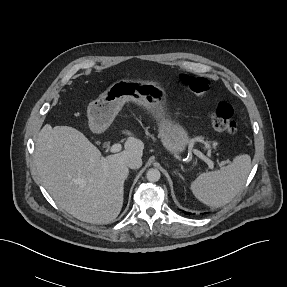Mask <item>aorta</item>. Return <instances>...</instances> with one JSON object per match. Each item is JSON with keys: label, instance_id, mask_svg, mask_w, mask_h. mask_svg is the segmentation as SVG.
Instances as JSON below:
<instances>
[{"label": "aorta", "instance_id": "762f6f07", "mask_svg": "<svg viewBox=\"0 0 287 287\" xmlns=\"http://www.w3.org/2000/svg\"><path fill=\"white\" fill-rule=\"evenodd\" d=\"M147 179L148 181L150 182H157L160 177H161V174H160V171L156 168H151L147 171Z\"/></svg>", "mask_w": 287, "mask_h": 287}]
</instances>
